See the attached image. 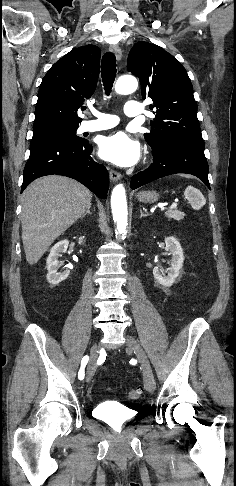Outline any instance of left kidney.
I'll use <instances>...</instances> for the list:
<instances>
[{"instance_id": "5707ae66", "label": "left kidney", "mask_w": 236, "mask_h": 486, "mask_svg": "<svg viewBox=\"0 0 236 486\" xmlns=\"http://www.w3.org/2000/svg\"><path fill=\"white\" fill-rule=\"evenodd\" d=\"M165 244L166 250L172 255L170 267L168 268V275L165 276L162 274L159 267H154L153 275L160 285L163 287H171L183 267L184 255L182 247L176 238L166 237Z\"/></svg>"}]
</instances>
